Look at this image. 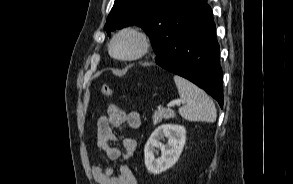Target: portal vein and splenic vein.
<instances>
[{
  "label": "portal vein and splenic vein",
  "instance_id": "portal-vein-and-splenic-vein-1",
  "mask_svg": "<svg viewBox=\"0 0 293 184\" xmlns=\"http://www.w3.org/2000/svg\"><path fill=\"white\" fill-rule=\"evenodd\" d=\"M184 101L181 100H173L170 103L167 104V106L170 107H175V106H180L181 104H184Z\"/></svg>",
  "mask_w": 293,
  "mask_h": 184
}]
</instances>
